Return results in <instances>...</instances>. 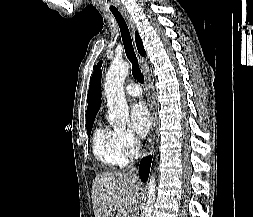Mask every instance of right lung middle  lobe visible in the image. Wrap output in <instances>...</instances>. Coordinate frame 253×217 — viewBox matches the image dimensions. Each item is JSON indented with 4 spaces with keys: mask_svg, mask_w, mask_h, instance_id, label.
Masks as SVG:
<instances>
[{
    "mask_svg": "<svg viewBox=\"0 0 253 217\" xmlns=\"http://www.w3.org/2000/svg\"><path fill=\"white\" fill-rule=\"evenodd\" d=\"M93 123H94V121H91V122L86 123L87 134H88V136H90V134H91V130H92V127H93Z\"/></svg>",
    "mask_w": 253,
    "mask_h": 217,
    "instance_id": "dd1d6c3e",
    "label": "right lung middle lobe"
}]
</instances>
